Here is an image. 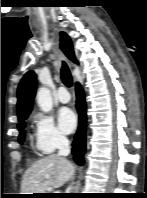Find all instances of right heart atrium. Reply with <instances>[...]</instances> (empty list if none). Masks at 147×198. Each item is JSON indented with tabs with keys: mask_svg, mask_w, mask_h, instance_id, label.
<instances>
[{
	"mask_svg": "<svg viewBox=\"0 0 147 198\" xmlns=\"http://www.w3.org/2000/svg\"><path fill=\"white\" fill-rule=\"evenodd\" d=\"M33 122L35 146L41 153L50 154L67 142L51 116L37 113L33 116Z\"/></svg>",
	"mask_w": 147,
	"mask_h": 198,
	"instance_id": "1",
	"label": "right heart atrium"
}]
</instances>
